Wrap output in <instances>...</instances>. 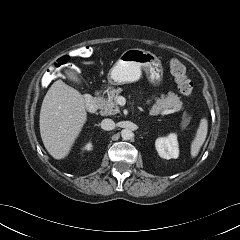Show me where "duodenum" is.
<instances>
[{
  "label": "duodenum",
  "instance_id": "410a0bca",
  "mask_svg": "<svg viewBox=\"0 0 240 240\" xmlns=\"http://www.w3.org/2000/svg\"><path fill=\"white\" fill-rule=\"evenodd\" d=\"M101 95V91H98L96 95L89 96L85 99V108L89 112H94L97 110L99 106V97Z\"/></svg>",
  "mask_w": 240,
  "mask_h": 240
}]
</instances>
